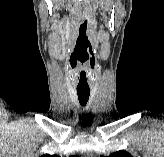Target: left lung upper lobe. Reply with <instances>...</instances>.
Listing matches in <instances>:
<instances>
[{
    "label": "left lung upper lobe",
    "mask_w": 164,
    "mask_h": 157,
    "mask_svg": "<svg viewBox=\"0 0 164 157\" xmlns=\"http://www.w3.org/2000/svg\"><path fill=\"white\" fill-rule=\"evenodd\" d=\"M100 157H133L132 155H130L128 152L126 151H118V152H115L109 156H100Z\"/></svg>",
    "instance_id": "1"
}]
</instances>
